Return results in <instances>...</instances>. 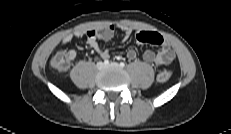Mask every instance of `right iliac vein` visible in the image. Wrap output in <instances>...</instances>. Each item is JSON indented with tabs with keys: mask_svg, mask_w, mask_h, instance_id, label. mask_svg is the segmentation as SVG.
I'll use <instances>...</instances> for the list:
<instances>
[{
	"mask_svg": "<svg viewBox=\"0 0 231 134\" xmlns=\"http://www.w3.org/2000/svg\"><path fill=\"white\" fill-rule=\"evenodd\" d=\"M96 67L98 70H102V69H104L105 65L102 62H98Z\"/></svg>",
	"mask_w": 231,
	"mask_h": 134,
	"instance_id": "1",
	"label": "right iliac vein"
}]
</instances>
